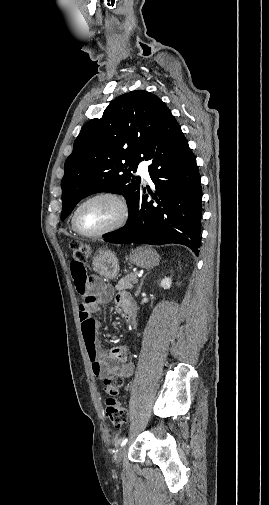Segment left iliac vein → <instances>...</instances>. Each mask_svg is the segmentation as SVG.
Segmentation results:
<instances>
[{"mask_svg":"<svg viewBox=\"0 0 269 505\" xmlns=\"http://www.w3.org/2000/svg\"><path fill=\"white\" fill-rule=\"evenodd\" d=\"M125 454H126V447L122 446L121 448H119V450L117 451V453L115 455V460L118 464L121 463Z\"/></svg>","mask_w":269,"mask_h":505,"instance_id":"4c4485c4","label":"left iliac vein"}]
</instances>
